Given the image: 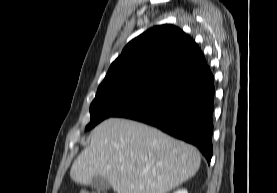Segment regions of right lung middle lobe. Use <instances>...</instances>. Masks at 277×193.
<instances>
[{
  "label": "right lung middle lobe",
  "mask_w": 277,
  "mask_h": 193,
  "mask_svg": "<svg viewBox=\"0 0 277 193\" xmlns=\"http://www.w3.org/2000/svg\"><path fill=\"white\" fill-rule=\"evenodd\" d=\"M152 92L153 90L150 89L133 87L98 89L96 97L90 105L91 120L85 130L92 129L106 118L116 116Z\"/></svg>",
  "instance_id": "dd1d6c3e"
}]
</instances>
